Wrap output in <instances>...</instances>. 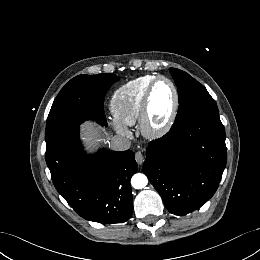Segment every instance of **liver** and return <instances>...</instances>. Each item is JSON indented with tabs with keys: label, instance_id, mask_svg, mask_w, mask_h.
Instances as JSON below:
<instances>
[{
	"label": "liver",
	"instance_id": "liver-1",
	"mask_svg": "<svg viewBox=\"0 0 260 260\" xmlns=\"http://www.w3.org/2000/svg\"><path fill=\"white\" fill-rule=\"evenodd\" d=\"M101 128L97 126L96 124L92 122H85L81 126L82 130V139L86 145L87 149H90V151H94L99 147L100 142L107 143L109 140L108 134L106 139H100L99 138V132Z\"/></svg>",
	"mask_w": 260,
	"mask_h": 260
}]
</instances>
